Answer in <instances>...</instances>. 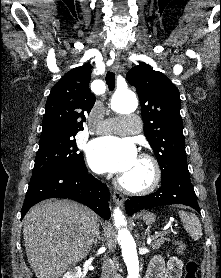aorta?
Segmentation results:
<instances>
[{
    "label": "aorta",
    "instance_id": "aorta-1",
    "mask_svg": "<svg viewBox=\"0 0 221 278\" xmlns=\"http://www.w3.org/2000/svg\"><path fill=\"white\" fill-rule=\"evenodd\" d=\"M111 107L120 114L132 112L137 107V99L132 91L116 93L111 100ZM114 225L118 229L117 239L120 242L121 252L127 266V278H139V260L136 243L126 228L125 216L119 208L114 210Z\"/></svg>",
    "mask_w": 221,
    "mask_h": 278
}]
</instances>
